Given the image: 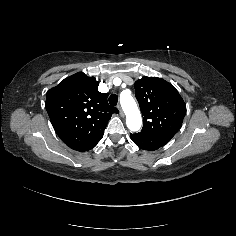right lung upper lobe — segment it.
<instances>
[{
    "mask_svg": "<svg viewBox=\"0 0 236 236\" xmlns=\"http://www.w3.org/2000/svg\"><path fill=\"white\" fill-rule=\"evenodd\" d=\"M99 82L82 72L48 90L45 107L60 139L71 149L87 151L103 137L109 119L118 113L98 92Z\"/></svg>",
    "mask_w": 236,
    "mask_h": 236,
    "instance_id": "1",
    "label": "right lung upper lobe"
}]
</instances>
